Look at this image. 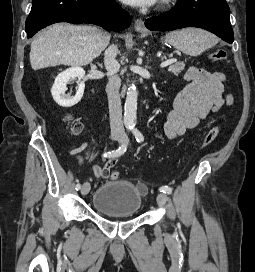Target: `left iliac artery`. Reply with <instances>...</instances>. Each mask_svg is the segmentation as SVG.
Segmentation results:
<instances>
[{
	"instance_id": "obj_1",
	"label": "left iliac artery",
	"mask_w": 255,
	"mask_h": 272,
	"mask_svg": "<svg viewBox=\"0 0 255 272\" xmlns=\"http://www.w3.org/2000/svg\"><path fill=\"white\" fill-rule=\"evenodd\" d=\"M132 132L137 140V142H142L144 140V136L137 128H132ZM160 192L167 193L168 195L172 193V188L169 186H162L159 188Z\"/></svg>"
}]
</instances>
